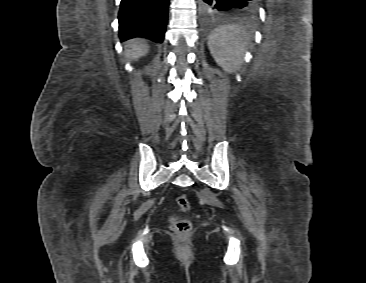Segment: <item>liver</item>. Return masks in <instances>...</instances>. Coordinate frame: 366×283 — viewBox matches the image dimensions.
<instances>
[{
  "mask_svg": "<svg viewBox=\"0 0 366 283\" xmlns=\"http://www.w3.org/2000/svg\"><path fill=\"white\" fill-rule=\"evenodd\" d=\"M126 54L132 59H138L146 55L149 50V45L143 43L141 39H131L126 45Z\"/></svg>",
  "mask_w": 366,
  "mask_h": 283,
  "instance_id": "1",
  "label": "liver"
}]
</instances>
